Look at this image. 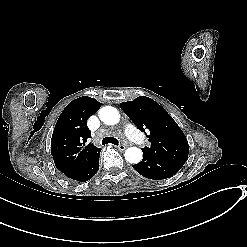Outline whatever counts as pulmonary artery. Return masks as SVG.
<instances>
[{
    "instance_id": "1",
    "label": "pulmonary artery",
    "mask_w": 247,
    "mask_h": 247,
    "mask_svg": "<svg viewBox=\"0 0 247 247\" xmlns=\"http://www.w3.org/2000/svg\"><path fill=\"white\" fill-rule=\"evenodd\" d=\"M134 127H135V125L132 124V123H130V122H124L123 123V129H124V131L133 133Z\"/></svg>"
}]
</instances>
